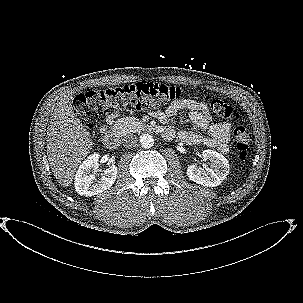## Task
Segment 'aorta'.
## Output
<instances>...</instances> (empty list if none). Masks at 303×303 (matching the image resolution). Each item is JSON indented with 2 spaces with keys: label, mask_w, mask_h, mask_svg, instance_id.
Instances as JSON below:
<instances>
[{
  "label": "aorta",
  "mask_w": 303,
  "mask_h": 303,
  "mask_svg": "<svg viewBox=\"0 0 303 303\" xmlns=\"http://www.w3.org/2000/svg\"><path fill=\"white\" fill-rule=\"evenodd\" d=\"M140 143H141V146L144 147V148H151L153 145H154V138L152 135L150 134H142L140 136Z\"/></svg>",
  "instance_id": "1"
}]
</instances>
